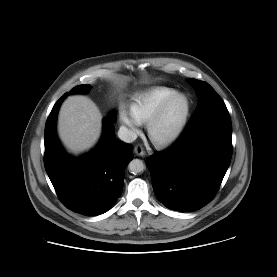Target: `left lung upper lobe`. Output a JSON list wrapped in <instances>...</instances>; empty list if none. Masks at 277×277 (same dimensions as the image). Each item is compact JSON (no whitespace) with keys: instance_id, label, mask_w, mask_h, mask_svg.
<instances>
[{"instance_id":"obj_1","label":"left lung upper lobe","mask_w":277,"mask_h":277,"mask_svg":"<svg viewBox=\"0 0 277 277\" xmlns=\"http://www.w3.org/2000/svg\"><path fill=\"white\" fill-rule=\"evenodd\" d=\"M188 81L195 87L199 96L198 106L190 121L214 110L227 109L221 97L209 84L196 79H188Z\"/></svg>"}]
</instances>
